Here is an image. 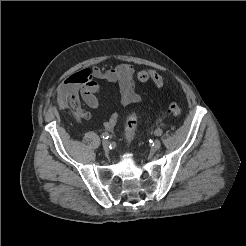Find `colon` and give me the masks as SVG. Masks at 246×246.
<instances>
[{
  "label": "colon",
  "instance_id": "obj_1",
  "mask_svg": "<svg viewBox=\"0 0 246 246\" xmlns=\"http://www.w3.org/2000/svg\"><path fill=\"white\" fill-rule=\"evenodd\" d=\"M136 77L137 80L142 83L151 81L157 87H162L164 85V80L162 76L154 70H149V69L140 70L137 73ZM169 112L174 117H178L182 113V107L177 102H171L169 104ZM136 124H137V115L132 113L128 116L124 127V133L126 139L130 140L133 137V134L136 129Z\"/></svg>",
  "mask_w": 246,
  "mask_h": 246
}]
</instances>
